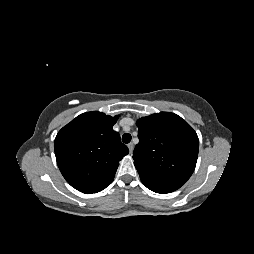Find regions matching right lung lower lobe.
Here are the masks:
<instances>
[{
  "mask_svg": "<svg viewBox=\"0 0 254 254\" xmlns=\"http://www.w3.org/2000/svg\"><path fill=\"white\" fill-rule=\"evenodd\" d=\"M111 183H112V181H111V182H109L108 184H106L105 186H103V187L99 188L98 190L94 191L93 193H97V192L102 191L103 189H105V188H106L108 185H110Z\"/></svg>",
  "mask_w": 254,
  "mask_h": 254,
  "instance_id": "obj_1",
  "label": "right lung lower lobe"
}]
</instances>
